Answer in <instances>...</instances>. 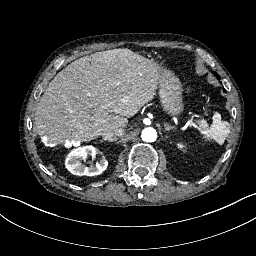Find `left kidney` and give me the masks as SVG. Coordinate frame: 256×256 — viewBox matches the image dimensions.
I'll return each instance as SVG.
<instances>
[{
	"mask_svg": "<svg viewBox=\"0 0 256 256\" xmlns=\"http://www.w3.org/2000/svg\"><path fill=\"white\" fill-rule=\"evenodd\" d=\"M177 147L183 152H186V146L183 143H177Z\"/></svg>",
	"mask_w": 256,
	"mask_h": 256,
	"instance_id": "obj_1",
	"label": "left kidney"
}]
</instances>
